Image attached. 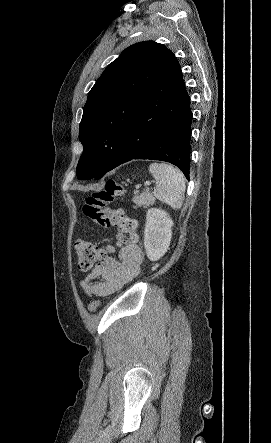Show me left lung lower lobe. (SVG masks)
Here are the masks:
<instances>
[{
    "label": "left lung lower lobe",
    "instance_id": "1",
    "mask_svg": "<svg viewBox=\"0 0 271 443\" xmlns=\"http://www.w3.org/2000/svg\"><path fill=\"white\" fill-rule=\"evenodd\" d=\"M191 121L190 98L173 57L134 113L109 171L133 159L161 160L189 180Z\"/></svg>",
    "mask_w": 271,
    "mask_h": 443
}]
</instances>
